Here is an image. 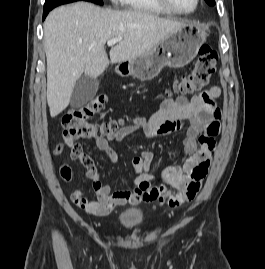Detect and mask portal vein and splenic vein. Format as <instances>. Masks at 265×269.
Masks as SVG:
<instances>
[{
    "instance_id": "portal-vein-and-splenic-vein-1",
    "label": "portal vein and splenic vein",
    "mask_w": 265,
    "mask_h": 269,
    "mask_svg": "<svg viewBox=\"0 0 265 269\" xmlns=\"http://www.w3.org/2000/svg\"><path fill=\"white\" fill-rule=\"evenodd\" d=\"M121 40H122V37L110 39V40L107 41V45L108 46H113L116 43L120 42Z\"/></svg>"
}]
</instances>
